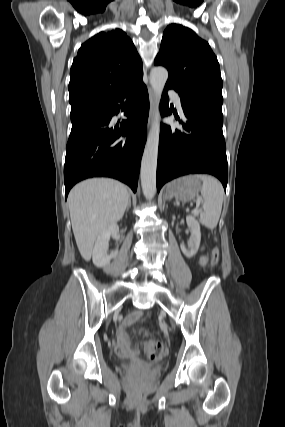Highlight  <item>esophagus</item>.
<instances>
[{"label":"esophagus","instance_id":"obj_1","mask_svg":"<svg viewBox=\"0 0 285 427\" xmlns=\"http://www.w3.org/2000/svg\"><path fill=\"white\" fill-rule=\"evenodd\" d=\"M149 99H150V114L148 120V126H150L152 118L154 116L155 107H156V98L153 90L149 87Z\"/></svg>","mask_w":285,"mask_h":427}]
</instances>
